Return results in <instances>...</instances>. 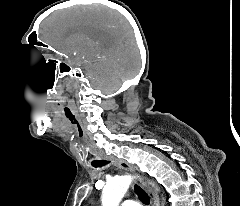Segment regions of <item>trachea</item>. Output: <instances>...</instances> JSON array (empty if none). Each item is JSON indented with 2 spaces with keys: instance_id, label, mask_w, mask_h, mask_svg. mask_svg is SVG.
Wrapping results in <instances>:
<instances>
[{
  "instance_id": "3493384b",
  "label": "trachea",
  "mask_w": 240,
  "mask_h": 206,
  "mask_svg": "<svg viewBox=\"0 0 240 206\" xmlns=\"http://www.w3.org/2000/svg\"><path fill=\"white\" fill-rule=\"evenodd\" d=\"M108 161L105 160H97L92 162L93 167H101L103 165H106ZM135 192L138 194L139 198L141 199L142 202L145 204H149V198L146 192L137 184L134 186Z\"/></svg>"
}]
</instances>
